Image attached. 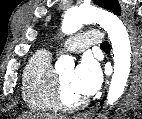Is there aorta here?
Returning a JSON list of instances; mask_svg holds the SVG:
<instances>
[{"label": "aorta", "mask_w": 142, "mask_h": 119, "mask_svg": "<svg viewBox=\"0 0 142 119\" xmlns=\"http://www.w3.org/2000/svg\"><path fill=\"white\" fill-rule=\"evenodd\" d=\"M85 23L99 24L107 32L112 44L114 73L107 94V104L112 105L123 94L129 77L131 46L128 32L121 20L113 13L84 6L66 10L62 32L67 35L73 34L81 29ZM73 66V58L68 55L61 56L56 63V68L59 70Z\"/></svg>", "instance_id": "762f6f07"}]
</instances>
